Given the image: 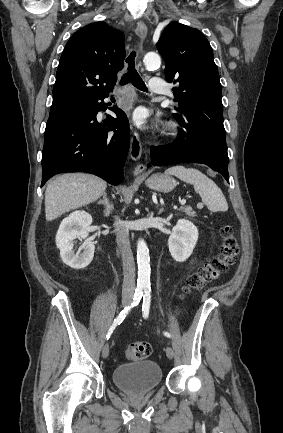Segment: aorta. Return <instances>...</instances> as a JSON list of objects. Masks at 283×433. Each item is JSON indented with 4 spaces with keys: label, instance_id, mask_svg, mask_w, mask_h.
I'll list each match as a JSON object with an SVG mask.
<instances>
[{
    "label": "aorta",
    "instance_id": "762f6f07",
    "mask_svg": "<svg viewBox=\"0 0 283 433\" xmlns=\"http://www.w3.org/2000/svg\"><path fill=\"white\" fill-rule=\"evenodd\" d=\"M147 68H158L161 65L160 56L155 52H148L143 59ZM138 279L137 286L148 288L150 286V256L146 242L140 239L137 243Z\"/></svg>",
    "mask_w": 283,
    "mask_h": 433
}]
</instances>
